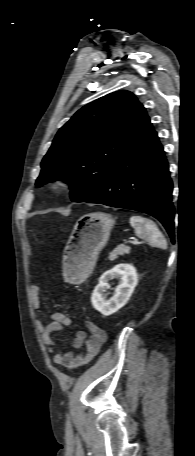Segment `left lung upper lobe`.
Here are the masks:
<instances>
[{"mask_svg": "<svg viewBox=\"0 0 195 456\" xmlns=\"http://www.w3.org/2000/svg\"><path fill=\"white\" fill-rule=\"evenodd\" d=\"M146 118L145 108L129 91L85 105L56 134L36 186L63 179L72 201L84 202L103 185Z\"/></svg>", "mask_w": 195, "mask_h": 456, "instance_id": "left-lung-upper-lobe-1", "label": "left lung upper lobe"}]
</instances>
